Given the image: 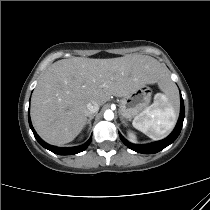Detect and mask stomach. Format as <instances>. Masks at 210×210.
<instances>
[{"mask_svg": "<svg viewBox=\"0 0 210 210\" xmlns=\"http://www.w3.org/2000/svg\"><path fill=\"white\" fill-rule=\"evenodd\" d=\"M151 90L148 86H143L120 101V114L122 118L130 120L138 117L149 105L151 100Z\"/></svg>", "mask_w": 210, "mask_h": 210, "instance_id": "stomach-1", "label": "stomach"}]
</instances>
